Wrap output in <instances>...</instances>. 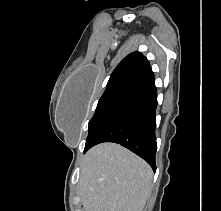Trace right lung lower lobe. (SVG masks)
Here are the masks:
<instances>
[{
	"label": "right lung lower lobe",
	"mask_w": 221,
	"mask_h": 211,
	"mask_svg": "<svg viewBox=\"0 0 221 211\" xmlns=\"http://www.w3.org/2000/svg\"><path fill=\"white\" fill-rule=\"evenodd\" d=\"M157 89L155 83L138 90L119 113L103 128L84 152L102 142H114L128 148L156 170L155 112Z\"/></svg>",
	"instance_id": "right-lung-lower-lobe-1"
}]
</instances>
